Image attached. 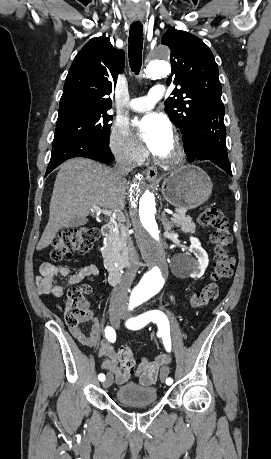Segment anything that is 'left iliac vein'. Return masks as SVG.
<instances>
[{
	"label": "left iliac vein",
	"mask_w": 271,
	"mask_h": 459,
	"mask_svg": "<svg viewBox=\"0 0 271 459\" xmlns=\"http://www.w3.org/2000/svg\"><path fill=\"white\" fill-rule=\"evenodd\" d=\"M130 316H131V315H129L128 313H126V314L124 315V318L128 319ZM168 374H169V369H168V367H167V366H163V367L161 368V371H160V378H161V381H162V382H164V380L167 378Z\"/></svg>",
	"instance_id": "left-iliac-vein-1"
}]
</instances>
